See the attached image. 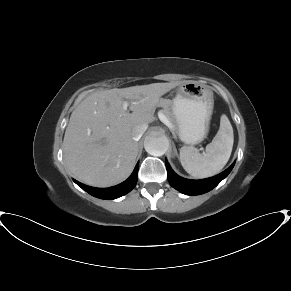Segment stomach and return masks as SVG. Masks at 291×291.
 Returning <instances> with one entry per match:
<instances>
[{
  "label": "stomach",
  "mask_w": 291,
  "mask_h": 291,
  "mask_svg": "<svg viewBox=\"0 0 291 291\" xmlns=\"http://www.w3.org/2000/svg\"><path fill=\"white\" fill-rule=\"evenodd\" d=\"M213 91L193 81L180 84L172 102V115L182 142L196 145L209 131L213 113Z\"/></svg>",
  "instance_id": "0dacf381"
}]
</instances>
